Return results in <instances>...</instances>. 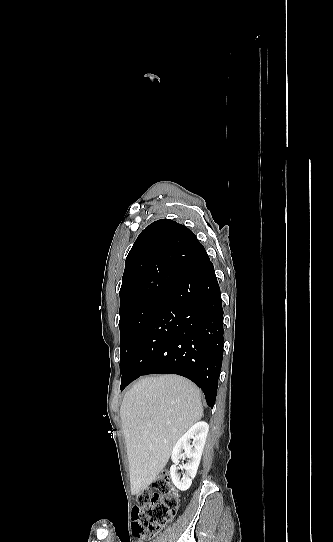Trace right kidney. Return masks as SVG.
Segmentation results:
<instances>
[{"label":"right kidney","mask_w":333,"mask_h":542,"mask_svg":"<svg viewBox=\"0 0 333 542\" xmlns=\"http://www.w3.org/2000/svg\"><path fill=\"white\" fill-rule=\"evenodd\" d=\"M208 432L209 426L206 422H197V424H194V426L178 440L173 448L171 454L173 466L170 468V476L174 486H176L178 490H181V492L189 490L192 480H194L197 474ZM191 440H193V444H191ZM182 450H184V454H181ZM181 458H190L187 464L180 466V468L186 470V474L183 476L182 480L179 474H177L179 460H181Z\"/></svg>","instance_id":"1"}]
</instances>
